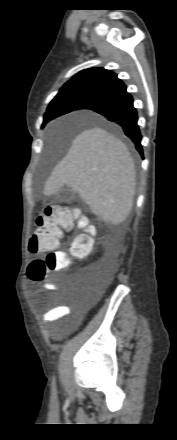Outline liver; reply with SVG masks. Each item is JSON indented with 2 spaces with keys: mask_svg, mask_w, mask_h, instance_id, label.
<instances>
[{
  "mask_svg": "<svg viewBox=\"0 0 177 440\" xmlns=\"http://www.w3.org/2000/svg\"><path fill=\"white\" fill-rule=\"evenodd\" d=\"M135 167L126 145L106 130L93 127L78 134L67 155L44 186V195L64 185L78 192L93 214L106 223L126 220L133 206Z\"/></svg>",
  "mask_w": 177,
  "mask_h": 440,
  "instance_id": "1",
  "label": "liver"
}]
</instances>
